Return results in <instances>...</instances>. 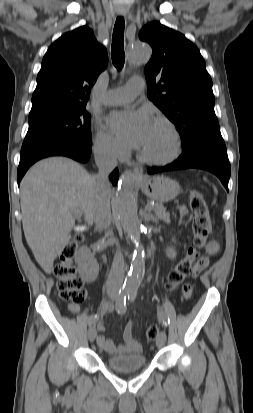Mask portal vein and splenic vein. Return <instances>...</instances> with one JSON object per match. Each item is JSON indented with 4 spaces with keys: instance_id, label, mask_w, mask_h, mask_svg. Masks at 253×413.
<instances>
[{
    "instance_id": "portal-vein-and-splenic-vein-1",
    "label": "portal vein and splenic vein",
    "mask_w": 253,
    "mask_h": 413,
    "mask_svg": "<svg viewBox=\"0 0 253 413\" xmlns=\"http://www.w3.org/2000/svg\"><path fill=\"white\" fill-rule=\"evenodd\" d=\"M146 207H147L149 210H153V209H154V206H153L152 204H149V205H147ZM73 213H74V215L77 216V217H79V216L81 215V212H80L79 210H74Z\"/></svg>"
}]
</instances>
